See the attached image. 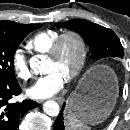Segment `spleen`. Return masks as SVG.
<instances>
[{
	"label": "spleen",
	"instance_id": "spleen-1",
	"mask_svg": "<svg viewBox=\"0 0 130 130\" xmlns=\"http://www.w3.org/2000/svg\"><path fill=\"white\" fill-rule=\"evenodd\" d=\"M66 130H86L89 127L73 115L66 116Z\"/></svg>",
	"mask_w": 130,
	"mask_h": 130
}]
</instances>
